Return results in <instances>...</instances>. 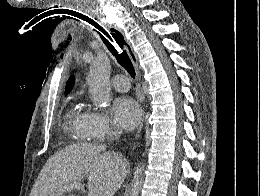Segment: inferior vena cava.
I'll use <instances>...</instances> for the list:
<instances>
[{
  "label": "inferior vena cava",
  "instance_id": "obj_1",
  "mask_svg": "<svg viewBox=\"0 0 260 196\" xmlns=\"http://www.w3.org/2000/svg\"><path fill=\"white\" fill-rule=\"evenodd\" d=\"M100 148H104V150H105L106 146H100Z\"/></svg>",
  "mask_w": 260,
  "mask_h": 196
}]
</instances>
